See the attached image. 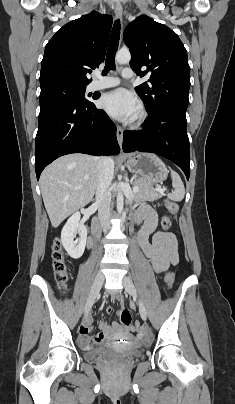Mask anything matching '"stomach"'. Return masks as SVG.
Listing matches in <instances>:
<instances>
[{
  "mask_svg": "<svg viewBox=\"0 0 235 404\" xmlns=\"http://www.w3.org/2000/svg\"><path fill=\"white\" fill-rule=\"evenodd\" d=\"M126 164L130 172L151 185L161 184L168 176L164 162L152 153L131 154L127 157Z\"/></svg>",
  "mask_w": 235,
  "mask_h": 404,
  "instance_id": "stomach-1",
  "label": "stomach"
}]
</instances>
